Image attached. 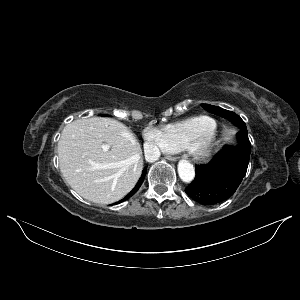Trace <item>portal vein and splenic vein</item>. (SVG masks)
<instances>
[{"mask_svg": "<svg viewBox=\"0 0 300 300\" xmlns=\"http://www.w3.org/2000/svg\"><path fill=\"white\" fill-rule=\"evenodd\" d=\"M108 149H109L108 145L104 144V145H103V150H104V151H107Z\"/></svg>", "mask_w": 300, "mask_h": 300, "instance_id": "18ae733b", "label": "portal vein and splenic vein"}]
</instances>
